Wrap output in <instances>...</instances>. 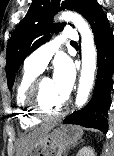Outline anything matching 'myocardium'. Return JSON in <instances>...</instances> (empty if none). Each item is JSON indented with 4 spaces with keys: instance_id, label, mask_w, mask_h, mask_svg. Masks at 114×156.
<instances>
[{
    "instance_id": "1",
    "label": "myocardium",
    "mask_w": 114,
    "mask_h": 156,
    "mask_svg": "<svg viewBox=\"0 0 114 156\" xmlns=\"http://www.w3.org/2000/svg\"><path fill=\"white\" fill-rule=\"evenodd\" d=\"M47 76H38L31 84L26 103L31 113L40 119H54L62 117L68 109L69 101L66 99L59 110L49 112L44 109L41 100V85Z\"/></svg>"
}]
</instances>
